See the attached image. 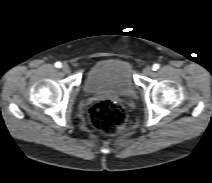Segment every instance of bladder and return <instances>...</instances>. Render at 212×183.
<instances>
[{
  "mask_svg": "<svg viewBox=\"0 0 212 183\" xmlns=\"http://www.w3.org/2000/svg\"><path fill=\"white\" fill-rule=\"evenodd\" d=\"M84 89L89 93L132 96L135 93V84L130 64L115 58L99 61L87 72Z\"/></svg>",
  "mask_w": 212,
  "mask_h": 183,
  "instance_id": "31cf9c89",
  "label": "bladder"
}]
</instances>
